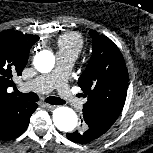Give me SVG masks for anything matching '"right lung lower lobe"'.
Returning <instances> with one entry per match:
<instances>
[{
  "label": "right lung lower lobe",
  "instance_id": "1",
  "mask_svg": "<svg viewBox=\"0 0 153 153\" xmlns=\"http://www.w3.org/2000/svg\"><path fill=\"white\" fill-rule=\"evenodd\" d=\"M37 107L36 103H28L26 107L15 113L0 130V140H10L20 136L27 129L30 117Z\"/></svg>",
  "mask_w": 153,
  "mask_h": 153
}]
</instances>
